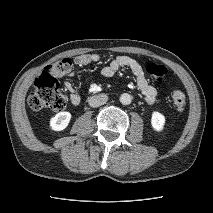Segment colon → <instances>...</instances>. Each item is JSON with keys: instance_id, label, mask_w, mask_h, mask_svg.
Returning a JSON list of instances; mask_svg holds the SVG:
<instances>
[{"instance_id": "colon-1", "label": "colon", "mask_w": 213, "mask_h": 213, "mask_svg": "<svg viewBox=\"0 0 213 213\" xmlns=\"http://www.w3.org/2000/svg\"><path fill=\"white\" fill-rule=\"evenodd\" d=\"M71 67V60L64 58L51 63L45 68L37 77L34 89L28 98V104L32 110L56 112L65 108L67 98L59 88L57 77L67 74ZM146 71L157 84H162L167 76V68L160 64L150 63L147 65ZM171 100L177 111L184 110L186 97L182 91H173Z\"/></svg>"}]
</instances>
